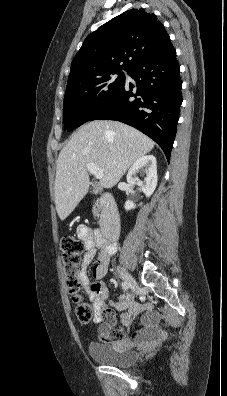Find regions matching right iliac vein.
<instances>
[{
  "label": "right iliac vein",
  "instance_id": "63e3f726",
  "mask_svg": "<svg viewBox=\"0 0 227 396\" xmlns=\"http://www.w3.org/2000/svg\"><path fill=\"white\" fill-rule=\"evenodd\" d=\"M119 276L126 282L136 293L138 286L134 278L123 268L118 269Z\"/></svg>",
  "mask_w": 227,
  "mask_h": 396
}]
</instances>
